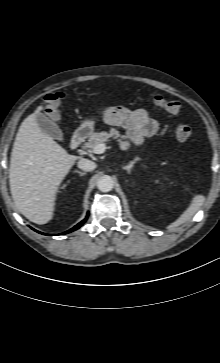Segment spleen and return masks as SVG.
<instances>
[{
    "instance_id": "3e777b00",
    "label": "spleen",
    "mask_w": 220,
    "mask_h": 363,
    "mask_svg": "<svg viewBox=\"0 0 220 363\" xmlns=\"http://www.w3.org/2000/svg\"><path fill=\"white\" fill-rule=\"evenodd\" d=\"M204 202L205 197L203 195L194 196L187 210L175 222L170 224L168 228L174 229L188 221L200 209Z\"/></svg>"
}]
</instances>
